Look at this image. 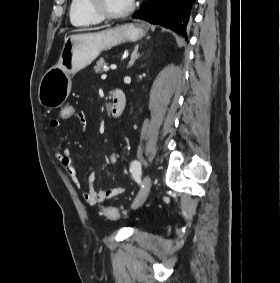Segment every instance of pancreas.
Masks as SVG:
<instances>
[{"label": "pancreas", "mask_w": 280, "mask_h": 283, "mask_svg": "<svg viewBox=\"0 0 280 283\" xmlns=\"http://www.w3.org/2000/svg\"><path fill=\"white\" fill-rule=\"evenodd\" d=\"M105 58H100L97 62L96 65L94 66V70L96 73L99 72H106L109 68H105Z\"/></svg>", "instance_id": "pancreas-1"}]
</instances>
